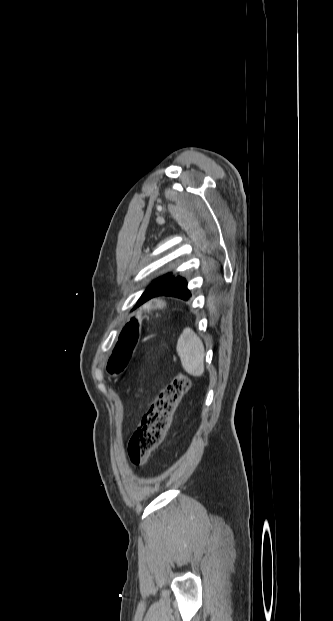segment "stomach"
<instances>
[{"instance_id": "obj_1", "label": "stomach", "mask_w": 333, "mask_h": 621, "mask_svg": "<svg viewBox=\"0 0 333 621\" xmlns=\"http://www.w3.org/2000/svg\"><path fill=\"white\" fill-rule=\"evenodd\" d=\"M163 304L156 300L148 306V310L163 308ZM136 318L126 324L123 332L117 336L112 344V349L108 355L107 372L112 377H119L123 374L124 368H128L133 360L138 344V322L142 321L141 311H138ZM138 320V322H137Z\"/></svg>"}]
</instances>
